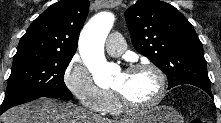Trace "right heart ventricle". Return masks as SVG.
<instances>
[{
    "label": "right heart ventricle",
    "instance_id": "1",
    "mask_svg": "<svg viewBox=\"0 0 221 123\" xmlns=\"http://www.w3.org/2000/svg\"><path fill=\"white\" fill-rule=\"evenodd\" d=\"M123 112V108L121 107L120 103L116 99L115 95L110 92V97L105 109V113L119 115Z\"/></svg>",
    "mask_w": 221,
    "mask_h": 123
}]
</instances>
